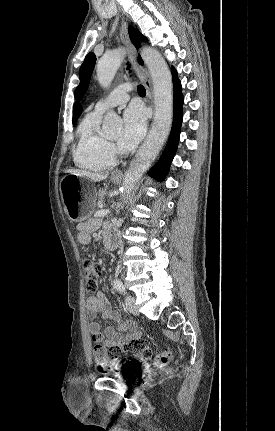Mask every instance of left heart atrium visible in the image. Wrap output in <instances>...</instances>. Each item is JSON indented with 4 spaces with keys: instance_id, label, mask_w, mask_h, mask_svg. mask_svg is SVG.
Returning a JSON list of instances; mask_svg holds the SVG:
<instances>
[{
    "instance_id": "left-heart-atrium-1",
    "label": "left heart atrium",
    "mask_w": 275,
    "mask_h": 431,
    "mask_svg": "<svg viewBox=\"0 0 275 431\" xmlns=\"http://www.w3.org/2000/svg\"><path fill=\"white\" fill-rule=\"evenodd\" d=\"M146 114L139 105H131L123 115V130L118 144L123 150H132L143 138L146 132Z\"/></svg>"
}]
</instances>
